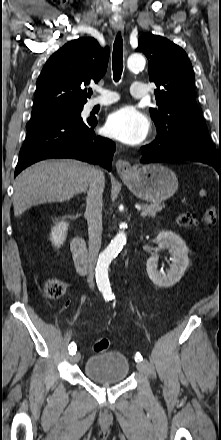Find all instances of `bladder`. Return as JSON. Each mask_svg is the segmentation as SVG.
<instances>
[{"mask_svg":"<svg viewBox=\"0 0 221 440\" xmlns=\"http://www.w3.org/2000/svg\"><path fill=\"white\" fill-rule=\"evenodd\" d=\"M130 363L124 353L110 351L90 357L84 366L85 376L97 383L123 382L129 373Z\"/></svg>","mask_w":221,"mask_h":440,"instance_id":"1","label":"bladder"}]
</instances>
